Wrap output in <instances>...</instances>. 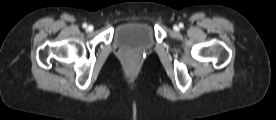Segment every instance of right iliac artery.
Returning a JSON list of instances; mask_svg holds the SVG:
<instances>
[{
    "label": "right iliac artery",
    "instance_id": "obj_1",
    "mask_svg": "<svg viewBox=\"0 0 276 120\" xmlns=\"http://www.w3.org/2000/svg\"><path fill=\"white\" fill-rule=\"evenodd\" d=\"M82 26H83V28H86V27H87V24H86V23H84Z\"/></svg>",
    "mask_w": 276,
    "mask_h": 120
}]
</instances>
